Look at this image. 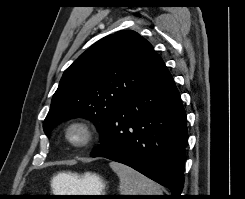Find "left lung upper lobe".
I'll return each mask as SVG.
<instances>
[{
    "instance_id": "5c2ea615",
    "label": "left lung upper lobe",
    "mask_w": 245,
    "mask_h": 199,
    "mask_svg": "<svg viewBox=\"0 0 245 199\" xmlns=\"http://www.w3.org/2000/svg\"><path fill=\"white\" fill-rule=\"evenodd\" d=\"M162 63L152 45L132 30L108 35L64 72L43 124L44 132L76 117L91 120L102 134L109 116L139 91Z\"/></svg>"
}]
</instances>
